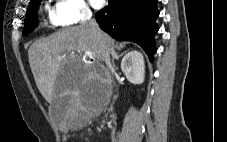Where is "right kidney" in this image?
Masks as SVG:
<instances>
[{
  "instance_id": "ca27d5eb",
  "label": "right kidney",
  "mask_w": 227,
  "mask_h": 142,
  "mask_svg": "<svg viewBox=\"0 0 227 142\" xmlns=\"http://www.w3.org/2000/svg\"><path fill=\"white\" fill-rule=\"evenodd\" d=\"M121 70L131 83L142 84L145 73L142 54L136 50L127 53L121 61Z\"/></svg>"
}]
</instances>
